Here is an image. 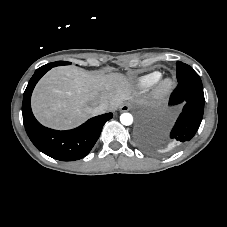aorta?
Returning a JSON list of instances; mask_svg holds the SVG:
<instances>
[{"mask_svg":"<svg viewBox=\"0 0 227 227\" xmlns=\"http://www.w3.org/2000/svg\"><path fill=\"white\" fill-rule=\"evenodd\" d=\"M120 122L125 126H129L133 122V116L130 113H123L120 116Z\"/></svg>","mask_w":227,"mask_h":227,"instance_id":"1","label":"aorta"}]
</instances>
